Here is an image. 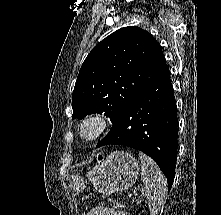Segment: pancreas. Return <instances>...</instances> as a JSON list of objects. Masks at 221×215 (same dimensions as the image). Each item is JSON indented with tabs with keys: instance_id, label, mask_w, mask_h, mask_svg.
Masks as SVG:
<instances>
[{
	"instance_id": "1",
	"label": "pancreas",
	"mask_w": 221,
	"mask_h": 215,
	"mask_svg": "<svg viewBox=\"0 0 221 215\" xmlns=\"http://www.w3.org/2000/svg\"><path fill=\"white\" fill-rule=\"evenodd\" d=\"M135 201H136L137 205L140 204V201H139V200L135 199Z\"/></svg>"
}]
</instances>
